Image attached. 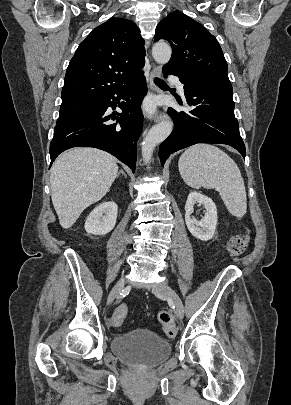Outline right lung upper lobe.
Segmentation results:
<instances>
[{
  "mask_svg": "<svg viewBox=\"0 0 291 405\" xmlns=\"http://www.w3.org/2000/svg\"><path fill=\"white\" fill-rule=\"evenodd\" d=\"M144 64V40L137 25L111 18L76 50L66 71L62 104L95 100L140 74Z\"/></svg>",
  "mask_w": 291,
  "mask_h": 405,
  "instance_id": "obj_1",
  "label": "right lung upper lobe"
}]
</instances>
